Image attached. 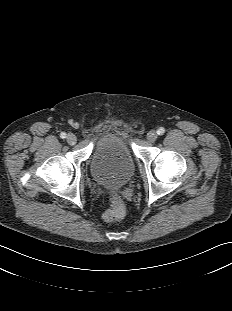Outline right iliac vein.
I'll return each mask as SVG.
<instances>
[{
    "label": "right iliac vein",
    "instance_id": "63e3f726",
    "mask_svg": "<svg viewBox=\"0 0 232 311\" xmlns=\"http://www.w3.org/2000/svg\"><path fill=\"white\" fill-rule=\"evenodd\" d=\"M66 140H67L68 144L74 145L76 143V141H77V138H76V136L74 134L70 133V134L67 135V139Z\"/></svg>",
    "mask_w": 232,
    "mask_h": 311
}]
</instances>
